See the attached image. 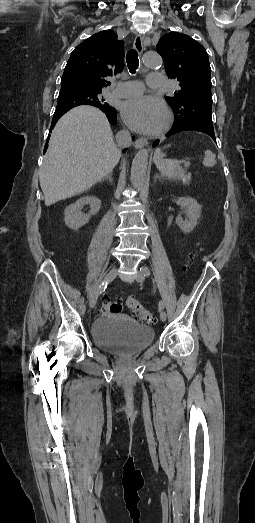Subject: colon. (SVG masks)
<instances>
[{"instance_id": "obj_1", "label": "colon", "mask_w": 255, "mask_h": 523, "mask_svg": "<svg viewBox=\"0 0 255 523\" xmlns=\"http://www.w3.org/2000/svg\"><path fill=\"white\" fill-rule=\"evenodd\" d=\"M126 305L132 312L133 316L136 317L142 323L151 324L154 322V315L150 311L144 309L142 304L137 299L133 297H128L126 300ZM121 310L122 304L120 302L106 299L104 300L100 313L102 315H114L120 313Z\"/></svg>"}]
</instances>
